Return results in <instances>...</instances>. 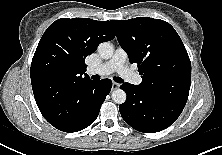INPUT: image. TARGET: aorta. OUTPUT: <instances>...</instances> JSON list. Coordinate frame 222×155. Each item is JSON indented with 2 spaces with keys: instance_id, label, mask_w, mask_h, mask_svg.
Segmentation results:
<instances>
[{
  "instance_id": "762f6f07",
  "label": "aorta",
  "mask_w": 222,
  "mask_h": 155,
  "mask_svg": "<svg viewBox=\"0 0 222 155\" xmlns=\"http://www.w3.org/2000/svg\"><path fill=\"white\" fill-rule=\"evenodd\" d=\"M98 53L103 59H109L114 53V47L110 42L100 43ZM112 100L117 104H122L126 101V93L122 89H116L111 94Z\"/></svg>"
}]
</instances>
